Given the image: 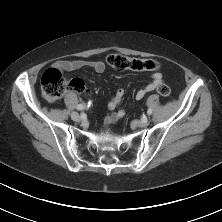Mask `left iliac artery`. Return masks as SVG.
<instances>
[{"mask_svg":"<svg viewBox=\"0 0 222 222\" xmlns=\"http://www.w3.org/2000/svg\"><path fill=\"white\" fill-rule=\"evenodd\" d=\"M147 114L151 115L152 114V109H148Z\"/></svg>","mask_w":222,"mask_h":222,"instance_id":"left-iliac-artery-1","label":"left iliac artery"}]
</instances>
